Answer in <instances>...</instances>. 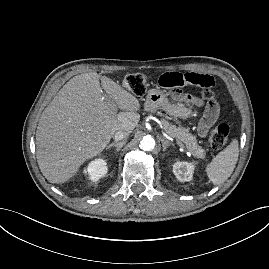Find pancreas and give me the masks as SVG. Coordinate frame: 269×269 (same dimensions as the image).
I'll use <instances>...</instances> for the list:
<instances>
[{
  "label": "pancreas",
  "mask_w": 269,
  "mask_h": 269,
  "mask_svg": "<svg viewBox=\"0 0 269 269\" xmlns=\"http://www.w3.org/2000/svg\"><path fill=\"white\" fill-rule=\"evenodd\" d=\"M163 126L165 132L171 137L183 142L187 150L190 151L194 157L199 159L205 158V150L198 145L196 138L188 132V129L176 127L175 125L169 124L167 121H163Z\"/></svg>",
  "instance_id": "pancreas-1"
}]
</instances>
